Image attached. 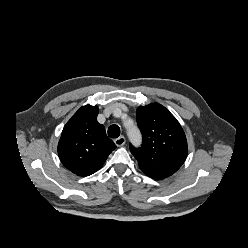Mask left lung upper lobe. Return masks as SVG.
<instances>
[{"instance_id":"left-lung-upper-lobe-1","label":"left lung upper lobe","mask_w":248,"mask_h":248,"mask_svg":"<svg viewBox=\"0 0 248 248\" xmlns=\"http://www.w3.org/2000/svg\"><path fill=\"white\" fill-rule=\"evenodd\" d=\"M136 113L143 144L139 148L130 145L131 153L144 173L171 176L187 157V140L181 125L158 103L140 106Z\"/></svg>"}]
</instances>
